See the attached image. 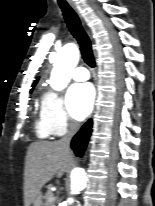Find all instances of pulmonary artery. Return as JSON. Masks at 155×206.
Wrapping results in <instances>:
<instances>
[{"instance_id":"obj_1","label":"pulmonary artery","mask_w":155,"mask_h":206,"mask_svg":"<svg viewBox=\"0 0 155 206\" xmlns=\"http://www.w3.org/2000/svg\"><path fill=\"white\" fill-rule=\"evenodd\" d=\"M76 81H85L89 79V73L85 67H77L72 75Z\"/></svg>"}]
</instances>
